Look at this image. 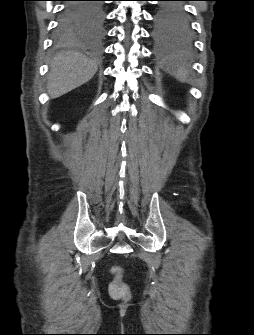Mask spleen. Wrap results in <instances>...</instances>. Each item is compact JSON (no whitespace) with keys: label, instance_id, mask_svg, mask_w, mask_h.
Here are the masks:
<instances>
[{"label":"spleen","instance_id":"3e777b00","mask_svg":"<svg viewBox=\"0 0 254 335\" xmlns=\"http://www.w3.org/2000/svg\"><path fill=\"white\" fill-rule=\"evenodd\" d=\"M164 68L178 81L185 83L189 81V71L186 67L179 65L176 57L171 55L164 62Z\"/></svg>","mask_w":254,"mask_h":335}]
</instances>
